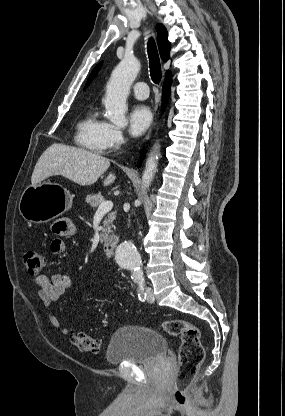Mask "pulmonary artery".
I'll return each mask as SVG.
<instances>
[{
    "instance_id": "1",
    "label": "pulmonary artery",
    "mask_w": 285,
    "mask_h": 416,
    "mask_svg": "<svg viewBox=\"0 0 285 416\" xmlns=\"http://www.w3.org/2000/svg\"><path fill=\"white\" fill-rule=\"evenodd\" d=\"M144 86H146V83L137 82L130 87V89L134 92L136 98L146 99L148 97V89Z\"/></svg>"
}]
</instances>
